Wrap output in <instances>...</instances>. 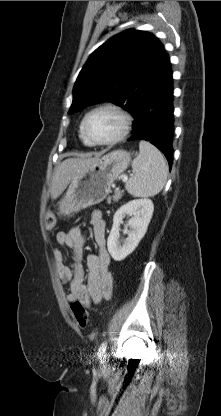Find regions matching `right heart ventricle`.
Returning <instances> with one entry per match:
<instances>
[{"label":"right heart ventricle","mask_w":221,"mask_h":416,"mask_svg":"<svg viewBox=\"0 0 221 416\" xmlns=\"http://www.w3.org/2000/svg\"><path fill=\"white\" fill-rule=\"evenodd\" d=\"M80 138H81L82 142H83L85 145H91L88 141H86V139L82 136V134L80 135Z\"/></svg>","instance_id":"e07e8e85"}]
</instances>
